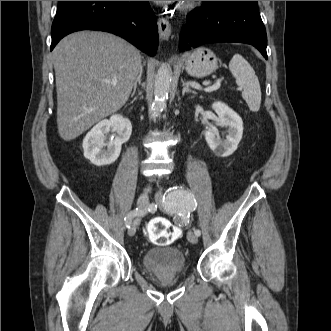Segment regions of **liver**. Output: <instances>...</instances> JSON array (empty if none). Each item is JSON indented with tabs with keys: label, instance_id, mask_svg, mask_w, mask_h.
I'll return each instance as SVG.
<instances>
[{
	"label": "liver",
	"instance_id": "liver-1",
	"mask_svg": "<svg viewBox=\"0 0 331 331\" xmlns=\"http://www.w3.org/2000/svg\"><path fill=\"white\" fill-rule=\"evenodd\" d=\"M52 58L57 128L65 141L120 110L142 69L139 50L117 36L97 31L66 36L54 48Z\"/></svg>",
	"mask_w": 331,
	"mask_h": 331
}]
</instances>
